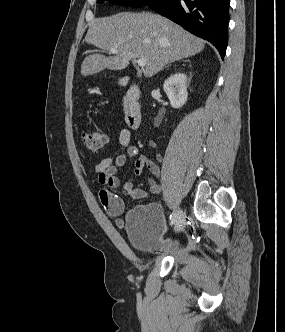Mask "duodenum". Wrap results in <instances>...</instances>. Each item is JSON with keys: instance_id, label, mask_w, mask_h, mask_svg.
<instances>
[{"instance_id": "410a0bca", "label": "duodenum", "mask_w": 285, "mask_h": 332, "mask_svg": "<svg viewBox=\"0 0 285 332\" xmlns=\"http://www.w3.org/2000/svg\"><path fill=\"white\" fill-rule=\"evenodd\" d=\"M124 84L127 85L125 94V121L131 129H138L142 122V112L139 102L141 91L137 84L130 83L127 79L124 80Z\"/></svg>"}]
</instances>
